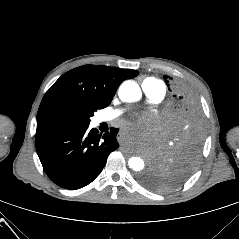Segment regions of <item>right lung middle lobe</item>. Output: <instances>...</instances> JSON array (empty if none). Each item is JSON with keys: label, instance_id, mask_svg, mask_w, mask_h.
<instances>
[{"label": "right lung middle lobe", "instance_id": "1", "mask_svg": "<svg viewBox=\"0 0 239 239\" xmlns=\"http://www.w3.org/2000/svg\"><path fill=\"white\" fill-rule=\"evenodd\" d=\"M90 120L86 121L83 125H87L89 124Z\"/></svg>", "mask_w": 239, "mask_h": 239}]
</instances>
